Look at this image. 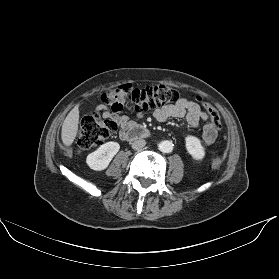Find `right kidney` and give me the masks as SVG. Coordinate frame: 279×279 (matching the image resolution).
<instances>
[{
  "label": "right kidney",
  "mask_w": 279,
  "mask_h": 279,
  "mask_svg": "<svg viewBox=\"0 0 279 279\" xmlns=\"http://www.w3.org/2000/svg\"><path fill=\"white\" fill-rule=\"evenodd\" d=\"M119 149L120 145L117 142L110 141L104 143L87 156L86 163L93 170H104L108 167Z\"/></svg>",
  "instance_id": "1"
}]
</instances>
